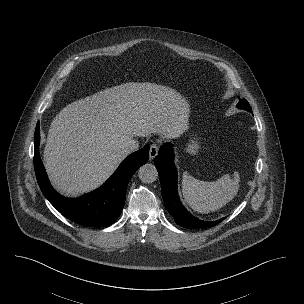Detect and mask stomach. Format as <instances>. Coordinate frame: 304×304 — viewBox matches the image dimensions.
I'll return each instance as SVG.
<instances>
[{"label":"stomach","instance_id":"0dacf381","mask_svg":"<svg viewBox=\"0 0 304 304\" xmlns=\"http://www.w3.org/2000/svg\"><path fill=\"white\" fill-rule=\"evenodd\" d=\"M201 150V142L200 139L195 135L191 137L186 145L185 151L192 155H198Z\"/></svg>","mask_w":304,"mask_h":304}]
</instances>
